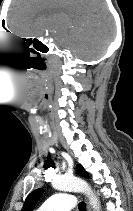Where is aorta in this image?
Segmentation results:
<instances>
[{"instance_id":"obj_1","label":"aorta","mask_w":133,"mask_h":211,"mask_svg":"<svg viewBox=\"0 0 133 211\" xmlns=\"http://www.w3.org/2000/svg\"><path fill=\"white\" fill-rule=\"evenodd\" d=\"M52 187L60 191L84 193L88 197L93 211H100V201L86 181L75 176L62 175L53 179Z\"/></svg>"}]
</instances>
